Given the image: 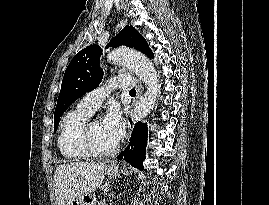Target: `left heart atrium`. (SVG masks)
I'll list each match as a JSON object with an SVG mask.
<instances>
[{"instance_id":"1","label":"left heart atrium","mask_w":269,"mask_h":205,"mask_svg":"<svg viewBox=\"0 0 269 205\" xmlns=\"http://www.w3.org/2000/svg\"><path fill=\"white\" fill-rule=\"evenodd\" d=\"M102 128L105 134L115 143H117L124 133V123L120 106L111 103L102 120Z\"/></svg>"}]
</instances>
